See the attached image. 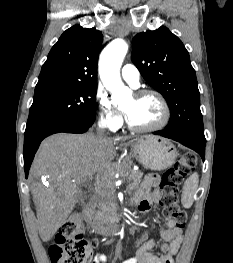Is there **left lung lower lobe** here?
Instances as JSON below:
<instances>
[{"label": "left lung lower lobe", "mask_w": 233, "mask_h": 263, "mask_svg": "<svg viewBox=\"0 0 233 263\" xmlns=\"http://www.w3.org/2000/svg\"><path fill=\"white\" fill-rule=\"evenodd\" d=\"M153 134L161 135L163 137L170 138V139L180 142L181 144L199 153L202 160L204 161L206 139H200L194 136H190V135H186V134H182V133H178L174 131H168L166 129L161 130V131H156Z\"/></svg>", "instance_id": "1"}]
</instances>
